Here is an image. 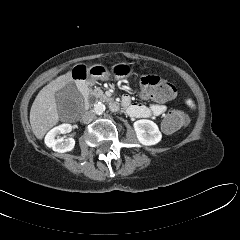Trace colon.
I'll use <instances>...</instances> for the list:
<instances>
[{"label":"colon","mask_w":240,"mask_h":240,"mask_svg":"<svg viewBox=\"0 0 240 240\" xmlns=\"http://www.w3.org/2000/svg\"><path fill=\"white\" fill-rule=\"evenodd\" d=\"M141 95L145 99L166 102L174 98L176 89L167 80L157 75H143L139 78ZM188 122L187 115L181 110H171L163 119L162 129L172 133Z\"/></svg>","instance_id":"1"}]
</instances>
